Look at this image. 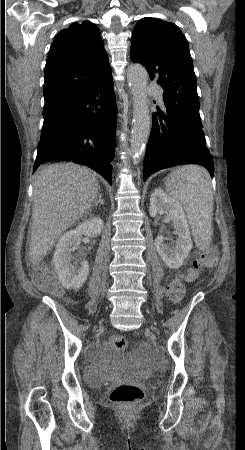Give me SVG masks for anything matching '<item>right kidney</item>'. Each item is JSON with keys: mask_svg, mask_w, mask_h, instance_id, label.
Returning <instances> with one entry per match:
<instances>
[{"mask_svg": "<svg viewBox=\"0 0 245 450\" xmlns=\"http://www.w3.org/2000/svg\"><path fill=\"white\" fill-rule=\"evenodd\" d=\"M103 230V221L95 217L82 222L74 230L60 237L53 256V264L62 286L67 289H79L89 273V264L85 259L73 262L72 252L81 242V236L97 237Z\"/></svg>", "mask_w": 245, "mask_h": 450, "instance_id": "right-kidney-1", "label": "right kidney"}]
</instances>
